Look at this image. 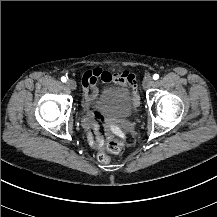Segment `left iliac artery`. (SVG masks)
<instances>
[{"instance_id": "obj_1", "label": "left iliac artery", "mask_w": 217, "mask_h": 217, "mask_svg": "<svg viewBox=\"0 0 217 217\" xmlns=\"http://www.w3.org/2000/svg\"><path fill=\"white\" fill-rule=\"evenodd\" d=\"M158 78H159V75H158V74H154V75H153V79H154V80H157Z\"/></svg>"}]
</instances>
